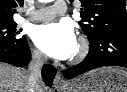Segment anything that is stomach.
<instances>
[{
  "label": "stomach",
  "mask_w": 127,
  "mask_h": 92,
  "mask_svg": "<svg viewBox=\"0 0 127 92\" xmlns=\"http://www.w3.org/2000/svg\"><path fill=\"white\" fill-rule=\"evenodd\" d=\"M59 92H127V71L102 67L73 80Z\"/></svg>",
  "instance_id": "0dacf381"
}]
</instances>
